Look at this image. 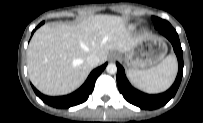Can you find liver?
<instances>
[{
    "label": "liver",
    "mask_w": 203,
    "mask_h": 123,
    "mask_svg": "<svg viewBox=\"0 0 203 123\" xmlns=\"http://www.w3.org/2000/svg\"><path fill=\"white\" fill-rule=\"evenodd\" d=\"M141 39L115 15H94L74 25L45 24L34 33L27 50L29 78L43 94H69L92 70L86 62L88 56H98L100 65L109 51L127 53Z\"/></svg>",
    "instance_id": "liver-1"
}]
</instances>
